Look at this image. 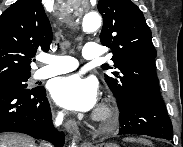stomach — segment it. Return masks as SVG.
Segmentation results:
<instances>
[{"label":"stomach","instance_id":"0dacf381","mask_svg":"<svg viewBox=\"0 0 183 147\" xmlns=\"http://www.w3.org/2000/svg\"><path fill=\"white\" fill-rule=\"evenodd\" d=\"M100 147H118V145L114 143H103V144H100Z\"/></svg>","mask_w":183,"mask_h":147}]
</instances>
